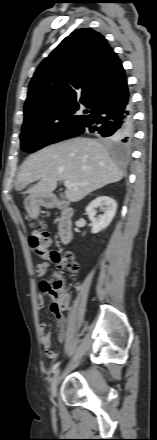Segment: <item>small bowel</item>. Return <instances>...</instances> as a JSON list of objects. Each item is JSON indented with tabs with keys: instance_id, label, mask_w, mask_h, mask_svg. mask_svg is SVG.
<instances>
[{
	"instance_id": "1",
	"label": "small bowel",
	"mask_w": 157,
	"mask_h": 440,
	"mask_svg": "<svg viewBox=\"0 0 157 440\" xmlns=\"http://www.w3.org/2000/svg\"><path fill=\"white\" fill-rule=\"evenodd\" d=\"M49 265L46 262H41L36 265V271L39 275V278H42L46 275L48 271ZM44 308L43 300L40 298V302L37 304V309L42 310ZM52 313L55 316L56 321V333L60 341H63L64 335H65V325L66 320L64 315L59 311V309L51 308ZM51 326L46 323H41L39 325V332H40V340L41 344L44 350L45 355L51 359L54 360L57 358L56 352L52 349L51 346V332H50Z\"/></svg>"
}]
</instances>
